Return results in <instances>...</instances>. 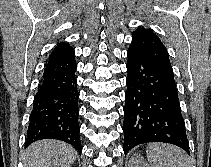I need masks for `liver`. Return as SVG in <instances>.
<instances>
[{
	"instance_id": "1",
	"label": "liver",
	"mask_w": 211,
	"mask_h": 167,
	"mask_svg": "<svg viewBox=\"0 0 211 167\" xmlns=\"http://www.w3.org/2000/svg\"><path fill=\"white\" fill-rule=\"evenodd\" d=\"M77 151L57 140H41L31 144L25 153L24 167H70Z\"/></svg>"
}]
</instances>
